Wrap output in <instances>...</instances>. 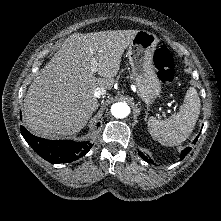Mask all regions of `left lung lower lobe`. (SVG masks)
I'll use <instances>...</instances> for the list:
<instances>
[{
    "instance_id": "obj_1",
    "label": "left lung lower lobe",
    "mask_w": 221,
    "mask_h": 221,
    "mask_svg": "<svg viewBox=\"0 0 221 221\" xmlns=\"http://www.w3.org/2000/svg\"><path fill=\"white\" fill-rule=\"evenodd\" d=\"M197 139H198V136H197L196 139L194 140V142H193L194 144L196 143ZM190 150H191L190 147H187L186 149H184V150L181 152L180 160H182V159L189 153ZM139 155H140L145 161H147V162H150V161H151V159H149L147 156H145L144 154H142V153H140V152H139Z\"/></svg>"
}]
</instances>
